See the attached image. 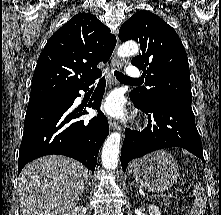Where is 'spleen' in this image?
<instances>
[{
  "label": "spleen",
  "mask_w": 221,
  "mask_h": 215,
  "mask_svg": "<svg viewBox=\"0 0 221 215\" xmlns=\"http://www.w3.org/2000/svg\"><path fill=\"white\" fill-rule=\"evenodd\" d=\"M193 195L195 196L193 211L195 213H203L206 207V196L200 182L194 186Z\"/></svg>",
  "instance_id": "1"
}]
</instances>
